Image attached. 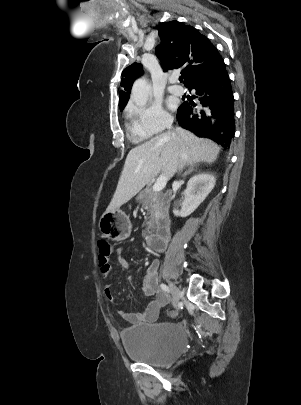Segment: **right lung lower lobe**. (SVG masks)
<instances>
[{
	"label": "right lung lower lobe",
	"mask_w": 301,
	"mask_h": 405,
	"mask_svg": "<svg viewBox=\"0 0 301 405\" xmlns=\"http://www.w3.org/2000/svg\"><path fill=\"white\" fill-rule=\"evenodd\" d=\"M188 89L196 90L202 106L193 112L192 106L182 104L177 112L179 125L228 148L235 134V114L233 92L224 61L212 73L192 82Z\"/></svg>",
	"instance_id": "obj_1"
}]
</instances>
